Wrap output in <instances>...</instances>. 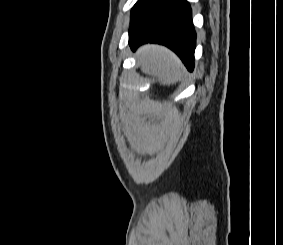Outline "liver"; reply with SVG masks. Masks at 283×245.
Returning a JSON list of instances; mask_svg holds the SVG:
<instances>
[{"label":"liver","instance_id":"obj_1","mask_svg":"<svg viewBox=\"0 0 283 245\" xmlns=\"http://www.w3.org/2000/svg\"><path fill=\"white\" fill-rule=\"evenodd\" d=\"M141 71L155 76L161 85H173L186 74V69L169 49L160 45H145L137 52Z\"/></svg>","mask_w":283,"mask_h":245}]
</instances>
